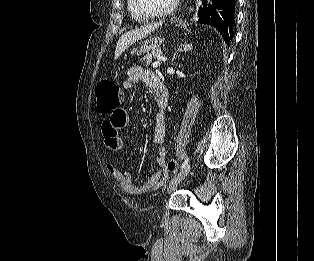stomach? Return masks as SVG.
I'll return each instance as SVG.
<instances>
[{
	"mask_svg": "<svg viewBox=\"0 0 314 261\" xmlns=\"http://www.w3.org/2000/svg\"><path fill=\"white\" fill-rule=\"evenodd\" d=\"M162 42H163V39L160 37H151L139 44V47L136 50V53L137 55H142L150 51H153L155 49H158L160 48V45L162 44Z\"/></svg>",
	"mask_w": 314,
	"mask_h": 261,
	"instance_id": "obj_1",
	"label": "stomach"
}]
</instances>
